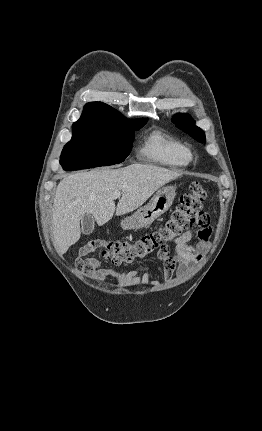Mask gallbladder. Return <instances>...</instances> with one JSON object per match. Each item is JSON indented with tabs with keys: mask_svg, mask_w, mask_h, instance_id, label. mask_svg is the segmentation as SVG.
Masks as SVG:
<instances>
[{
	"mask_svg": "<svg viewBox=\"0 0 262 431\" xmlns=\"http://www.w3.org/2000/svg\"><path fill=\"white\" fill-rule=\"evenodd\" d=\"M94 218L90 214H85L81 219L82 233L84 235H90L94 230Z\"/></svg>",
	"mask_w": 262,
	"mask_h": 431,
	"instance_id": "gallbladder-1",
	"label": "gallbladder"
}]
</instances>
